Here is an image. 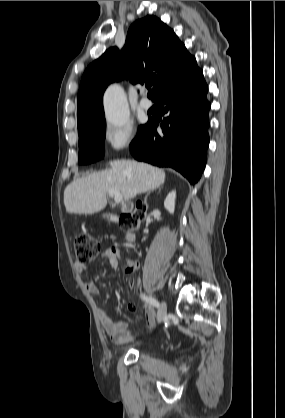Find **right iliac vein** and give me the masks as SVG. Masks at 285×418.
<instances>
[{
  "mask_svg": "<svg viewBox=\"0 0 285 418\" xmlns=\"http://www.w3.org/2000/svg\"><path fill=\"white\" fill-rule=\"evenodd\" d=\"M166 317V305L164 302L161 303V306L158 310V314H157V318H158V323H161L164 321Z\"/></svg>",
  "mask_w": 285,
  "mask_h": 418,
  "instance_id": "obj_1",
  "label": "right iliac vein"
}]
</instances>
